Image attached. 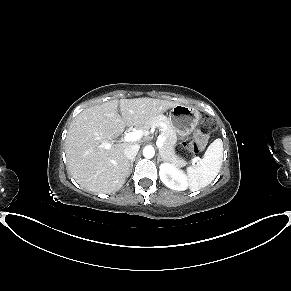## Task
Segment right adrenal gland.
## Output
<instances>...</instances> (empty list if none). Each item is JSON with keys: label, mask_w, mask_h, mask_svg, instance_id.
Here are the masks:
<instances>
[{"label": "right adrenal gland", "mask_w": 291, "mask_h": 291, "mask_svg": "<svg viewBox=\"0 0 291 291\" xmlns=\"http://www.w3.org/2000/svg\"><path fill=\"white\" fill-rule=\"evenodd\" d=\"M134 161H135V159H132V160L130 161L129 175H130L131 172H132V168H133V163H134Z\"/></svg>", "instance_id": "right-adrenal-gland-1"}]
</instances>
